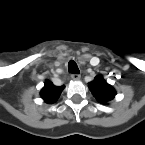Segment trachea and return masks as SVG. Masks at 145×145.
<instances>
[{"label": "trachea", "mask_w": 145, "mask_h": 145, "mask_svg": "<svg viewBox=\"0 0 145 145\" xmlns=\"http://www.w3.org/2000/svg\"><path fill=\"white\" fill-rule=\"evenodd\" d=\"M68 70H69L70 73H73V74H79L80 73L76 62L73 61V60L69 61V63H68Z\"/></svg>", "instance_id": "1"}]
</instances>
